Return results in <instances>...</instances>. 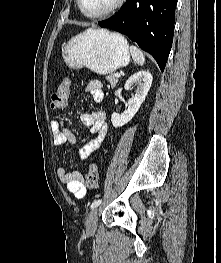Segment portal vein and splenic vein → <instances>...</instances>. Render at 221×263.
Returning a JSON list of instances; mask_svg holds the SVG:
<instances>
[{"mask_svg":"<svg viewBox=\"0 0 221 263\" xmlns=\"http://www.w3.org/2000/svg\"><path fill=\"white\" fill-rule=\"evenodd\" d=\"M115 77L119 78V77H120V74H119V73H116V74H115Z\"/></svg>","mask_w":221,"mask_h":263,"instance_id":"portal-vein-and-splenic-vein-1","label":"portal vein and splenic vein"}]
</instances>
